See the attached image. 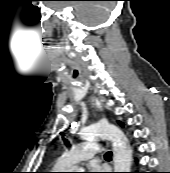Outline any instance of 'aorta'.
Wrapping results in <instances>:
<instances>
[{"instance_id":"1","label":"aorta","mask_w":170,"mask_h":173,"mask_svg":"<svg viewBox=\"0 0 170 173\" xmlns=\"http://www.w3.org/2000/svg\"><path fill=\"white\" fill-rule=\"evenodd\" d=\"M83 137L88 140L104 138L112 141L114 172H130L132 149L126 135L115 125L101 122L83 130Z\"/></svg>"}]
</instances>
